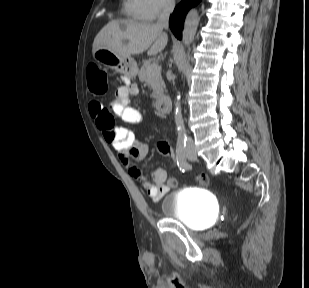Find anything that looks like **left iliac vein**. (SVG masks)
<instances>
[{"instance_id":"1","label":"left iliac vein","mask_w":309,"mask_h":288,"mask_svg":"<svg viewBox=\"0 0 309 288\" xmlns=\"http://www.w3.org/2000/svg\"><path fill=\"white\" fill-rule=\"evenodd\" d=\"M186 157L191 161H195L197 159L196 152L192 147L186 151Z\"/></svg>"}]
</instances>
